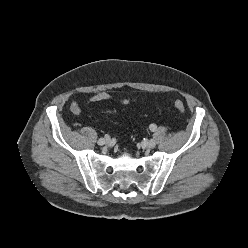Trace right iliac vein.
I'll return each instance as SVG.
<instances>
[{"label":"right iliac vein","instance_id":"1","mask_svg":"<svg viewBox=\"0 0 248 248\" xmlns=\"http://www.w3.org/2000/svg\"><path fill=\"white\" fill-rule=\"evenodd\" d=\"M103 140V145H107L110 142L109 138H100Z\"/></svg>","mask_w":248,"mask_h":248}]
</instances>
